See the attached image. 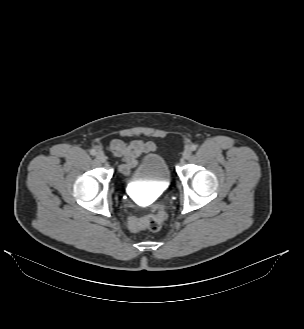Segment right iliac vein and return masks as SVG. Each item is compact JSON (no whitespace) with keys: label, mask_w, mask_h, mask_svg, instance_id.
<instances>
[{"label":"right iliac vein","mask_w":304,"mask_h":329,"mask_svg":"<svg viewBox=\"0 0 304 329\" xmlns=\"http://www.w3.org/2000/svg\"><path fill=\"white\" fill-rule=\"evenodd\" d=\"M96 158L99 162H102V163H104L106 161V156L103 152H98L96 154Z\"/></svg>","instance_id":"1"}]
</instances>
